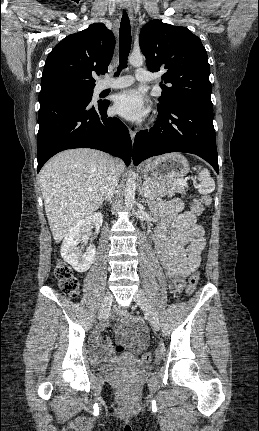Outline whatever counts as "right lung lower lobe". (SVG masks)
<instances>
[{
    "label": "right lung lower lobe",
    "instance_id": "right-lung-lower-lobe-1",
    "mask_svg": "<svg viewBox=\"0 0 259 431\" xmlns=\"http://www.w3.org/2000/svg\"><path fill=\"white\" fill-rule=\"evenodd\" d=\"M109 101L92 106L90 99L58 97L40 103L37 138L38 172L56 153L72 148L108 152L129 165L132 142L127 127L107 117Z\"/></svg>",
    "mask_w": 259,
    "mask_h": 431
}]
</instances>
